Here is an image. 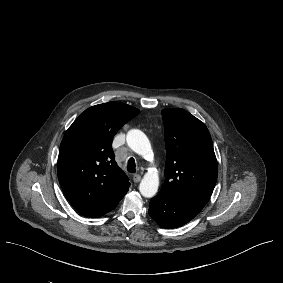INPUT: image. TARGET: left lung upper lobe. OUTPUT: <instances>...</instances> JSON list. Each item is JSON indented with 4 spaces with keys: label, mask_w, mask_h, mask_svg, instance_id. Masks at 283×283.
<instances>
[{
    "label": "left lung upper lobe",
    "mask_w": 283,
    "mask_h": 283,
    "mask_svg": "<svg viewBox=\"0 0 283 283\" xmlns=\"http://www.w3.org/2000/svg\"><path fill=\"white\" fill-rule=\"evenodd\" d=\"M167 159L159 193L204 206L217 180V160L207 127L184 109H164Z\"/></svg>",
    "instance_id": "1"
}]
</instances>
